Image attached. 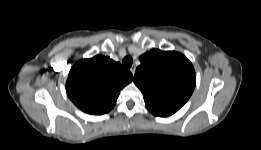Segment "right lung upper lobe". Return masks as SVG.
<instances>
[{"label":"right lung upper lobe","instance_id":"right-lung-upper-lobe-1","mask_svg":"<svg viewBox=\"0 0 261 150\" xmlns=\"http://www.w3.org/2000/svg\"><path fill=\"white\" fill-rule=\"evenodd\" d=\"M133 79L131 72L109 57L97 55L77 62L70 70L66 92L89 114H104L116 104L120 90Z\"/></svg>","mask_w":261,"mask_h":150}]
</instances>
